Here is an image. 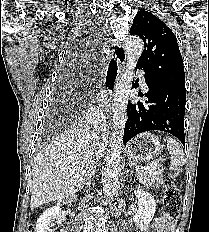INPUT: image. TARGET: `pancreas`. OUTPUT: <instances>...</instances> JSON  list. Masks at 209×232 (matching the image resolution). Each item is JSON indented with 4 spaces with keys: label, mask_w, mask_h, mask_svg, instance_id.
Returning a JSON list of instances; mask_svg holds the SVG:
<instances>
[{
    "label": "pancreas",
    "mask_w": 209,
    "mask_h": 232,
    "mask_svg": "<svg viewBox=\"0 0 209 232\" xmlns=\"http://www.w3.org/2000/svg\"><path fill=\"white\" fill-rule=\"evenodd\" d=\"M163 168L157 165L156 168L140 167L137 170L138 178L146 187H159L162 183Z\"/></svg>",
    "instance_id": "1"
}]
</instances>
